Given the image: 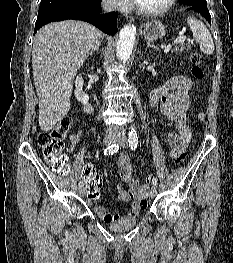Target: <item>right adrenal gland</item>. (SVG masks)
Listing matches in <instances>:
<instances>
[{
    "label": "right adrenal gland",
    "mask_w": 233,
    "mask_h": 263,
    "mask_svg": "<svg viewBox=\"0 0 233 263\" xmlns=\"http://www.w3.org/2000/svg\"><path fill=\"white\" fill-rule=\"evenodd\" d=\"M100 45H101V42L97 41L94 48L90 51L89 55L92 56L95 51H99Z\"/></svg>",
    "instance_id": "right-adrenal-gland-1"
}]
</instances>
